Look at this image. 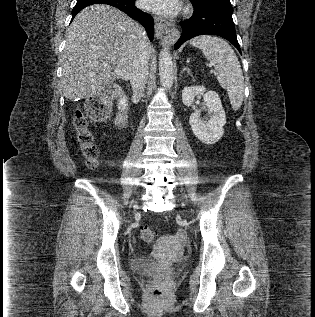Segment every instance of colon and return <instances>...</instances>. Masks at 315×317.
<instances>
[{
  "mask_svg": "<svg viewBox=\"0 0 315 317\" xmlns=\"http://www.w3.org/2000/svg\"><path fill=\"white\" fill-rule=\"evenodd\" d=\"M87 115L95 120H104L109 114V101L105 95H96L89 99L86 105ZM74 130L76 132L77 141L82 152V155L89 167H95L98 162L99 152L94 143V136L88 127L86 117L75 112L73 117ZM141 239L145 243H152L155 238V232L148 227H142L140 230ZM152 297L161 299L164 295V290L161 286L156 285L152 289Z\"/></svg>",
  "mask_w": 315,
  "mask_h": 317,
  "instance_id": "5ec220e1",
  "label": "colon"
}]
</instances>
